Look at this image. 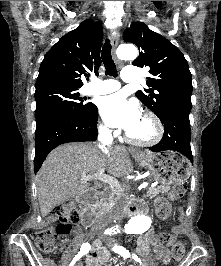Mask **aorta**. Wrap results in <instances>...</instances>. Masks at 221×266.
<instances>
[{
	"label": "aorta",
	"mask_w": 221,
	"mask_h": 266,
	"mask_svg": "<svg viewBox=\"0 0 221 266\" xmlns=\"http://www.w3.org/2000/svg\"><path fill=\"white\" fill-rule=\"evenodd\" d=\"M117 56L121 60H134L138 56L136 47L132 44H122L117 49ZM149 218L145 215L132 217L125 225L123 231L128 234H140L149 228Z\"/></svg>",
	"instance_id": "aorta-1"
}]
</instances>
